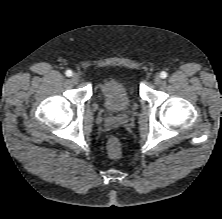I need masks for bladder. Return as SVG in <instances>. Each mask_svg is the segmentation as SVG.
<instances>
[{
  "label": "bladder",
  "instance_id": "bladder-1",
  "mask_svg": "<svg viewBox=\"0 0 222 219\" xmlns=\"http://www.w3.org/2000/svg\"><path fill=\"white\" fill-rule=\"evenodd\" d=\"M98 93L105 109L112 113L126 111L132 102V91L121 78L108 77L101 80Z\"/></svg>",
  "mask_w": 222,
  "mask_h": 219
}]
</instances>
